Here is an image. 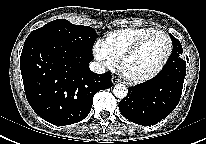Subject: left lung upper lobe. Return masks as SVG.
Instances as JSON below:
<instances>
[{
    "instance_id": "5c2ea615",
    "label": "left lung upper lobe",
    "mask_w": 206,
    "mask_h": 144,
    "mask_svg": "<svg viewBox=\"0 0 206 144\" xmlns=\"http://www.w3.org/2000/svg\"><path fill=\"white\" fill-rule=\"evenodd\" d=\"M169 35H170L171 40L173 42L172 54L178 55L179 57H181V55L183 53V49H182L181 43L173 35H171V34H169Z\"/></svg>"
}]
</instances>
